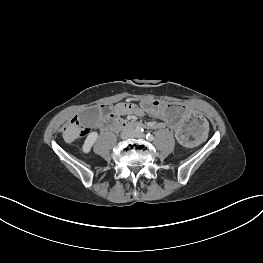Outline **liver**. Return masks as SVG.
Segmentation results:
<instances>
[{
	"mask_svg": "<svg viewBox=\"0 0 263 263\" xmlns=\"http://www.w3.org/2000/svg\"><path fill=\"white\" fill-rule=\"evenodd\" d=\"M80 127L76 126L75 124H68L66 130L63 132V139L66 143L70 144L75 139L78 138V133L80 131Z\"/></svg>",
	"mask_w": 263,
	"mask_h": 263,
	"instance_id": "liver-1",
	"label": "liver"
}]
</instances>
